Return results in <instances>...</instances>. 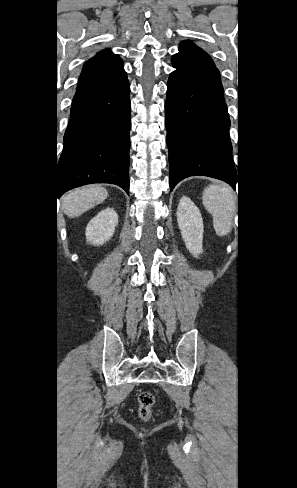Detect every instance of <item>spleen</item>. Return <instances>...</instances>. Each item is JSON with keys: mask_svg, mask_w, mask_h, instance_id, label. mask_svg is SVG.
<instances>
[{"mask_svg": "<svg viewBox=\"0 0 297 488\" xmlns=\"http://www.w3.org/2000/svg\"><path fill=\"white\" fill-rule=\"evenodd\" d=\"M234 201L233 194L224 186L210 185L204 190L203 205L212 214L213 225L219 235L230 228Z\"/></svg>", "mask_w": 297, "mask_h": 488, "instance_id": "1", "label": "spleen"}]
</instances>
